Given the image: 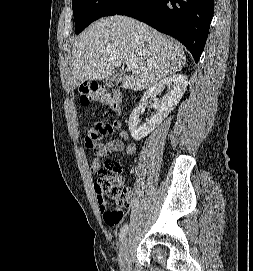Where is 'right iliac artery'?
<instances>
[{"label": "right iliac artery", "instance_id": "82829eb1", "mask_svg": "<svg viewBox=\"0 0 253 271\" xmlns=\"http://www.w3.org/2000/svg\"><path fill=\"white\" fill-rule=\"evenodd\" d=\"M127 232H128V225L125 224L120 230V234H119V240L120 241H123V239L125 238Z\"/></svg>", "mask_w": 253, "mask_h": 271}]
</instances>
